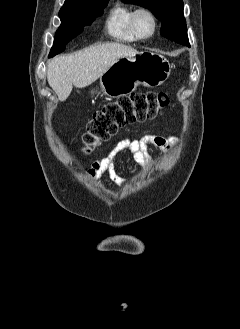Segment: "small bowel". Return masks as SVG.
Masks as SVG:
<instances>
[{"mask_svg": "<svg viewBox=\"0 0 240 329\" xmlns=\"http://www.w3.org/2000/svg\"><path fill=\"white\" fill-rule=\"evenodd\" d=\"M176 142L177 139L174 136L163 137L158 135H144L139 139H122L105 157L93 163L88 170L87 177L90 180L99 181L103 175H107L111 182L122 185L124 180L117 173L115 167L116 159L122 152H129L137 164L147 168L150 164L149 145H154L165 154H169Z\"/></svg>", "mask_w": 240, "mask_h": 329, "instance_id": "1", "label": "small bowel"}]
</instances>
